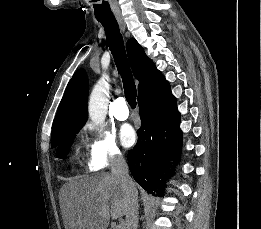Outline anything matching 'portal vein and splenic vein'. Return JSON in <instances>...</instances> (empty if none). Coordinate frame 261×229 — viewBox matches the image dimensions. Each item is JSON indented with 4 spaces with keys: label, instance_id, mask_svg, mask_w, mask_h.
<instances>
[{
    "label": "portal vein and splenic vein",
    "instance_id": "18ae733b",
    "mask_svg": "<svg viewBox=\"0 0 261 229\" xmlns=\"http://www.w3.org/2000/svg\"><path fill=\"white\" fill-rule=\"evenodd\" d=\"M116 229H123V225H118V227H116Z\"/></svg>",
    "mask_w": 261,
    "mask_h": 229
}]
</instances>
